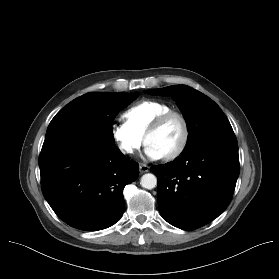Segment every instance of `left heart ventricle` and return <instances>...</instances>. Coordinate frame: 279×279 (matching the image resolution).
Here are the masks:
<instances>
[{"label": "left heart ventricle", "mask_w": 279, "mask_h": 279, "mask_svg": "<svg viewBox=\"0 0 279 279\" xmlns=\"http://www.w3.org/2000/svg\"><path fill=\"white\" fill-rule=\"evenodd\" d=\"M182 134L181 122L172 117L159 130L147 136L146 144L152 145L162 156H165L176 149L182 139Z\"/></svg>", "instance_id": "left-heart-ventricle-1"}]
</instances>
